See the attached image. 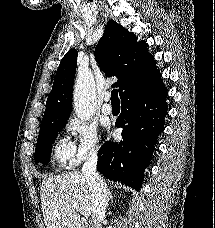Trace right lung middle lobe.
<instances>
[{
  "label": "right lung middle lobe",
  "instance_id": "1",
  "mask_svg": "<svg viewBox=\"0 0 215 228\" xmlns=\"http://www.w3.org/2000/svg\"><path fill=\"white\" fill-rule=\"evenodd\" d=\"M66 123L67 122H57L40 127V134L38 136L34 155L36 163H48L51 155L52 143L55 141L58 132L63 129Z\"/></svg>",
  "mask_w": 215,
  "mask_h": 228
}]
</instances>
